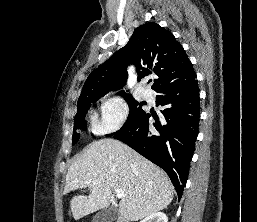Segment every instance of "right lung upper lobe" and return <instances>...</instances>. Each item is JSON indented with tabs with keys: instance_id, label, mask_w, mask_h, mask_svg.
<instances>
[{
	"instance_id": "1",
	"label": "right lung upper lobe",
	"mask_w": 257,
	"mask_h": 222,
	"mask_svg": "<svg viewBox=\"0 0 257 222\" xmlns=\"http://www.w3.org/2000/svg\"><path fill=\"white\" fill-rule=\"evenodd\" d=\"M138 70V80L156 74L159 79L152 89L189 80L195 75L185 50L168 30L149 22L138 27L128 44L95 69L84 83L78 104L90 97L103 96L110 89H120L126 83L127 66ZM123 95L125 94L122 91Z\"/></svg>"
}]
</instances>
